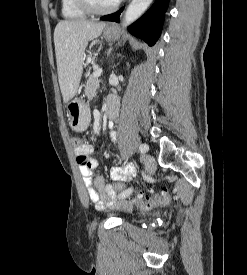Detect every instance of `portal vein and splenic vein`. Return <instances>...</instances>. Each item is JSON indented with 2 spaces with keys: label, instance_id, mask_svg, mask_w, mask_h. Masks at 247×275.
Segmentation results:
<instances>
[{
  "label": "portal vein and splenic vein",
  "instance_id": "18ae733b",
  "mask_svg": "<svg viewBox=\"0 0 247 275\" xmlns=\"http://www.w3.org/2000/svg\"><path fill=\"white\" fill-rule=\"evenodd\" d=\"M93 74H94L95 76H101V74H102V69H96V70L93 72Z\"/></svg>",
  "mask_w": 247,
  "mask_h": 275
}]
</instances>
